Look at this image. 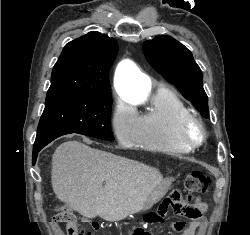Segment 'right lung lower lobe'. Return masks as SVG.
I'll use <instances>...</instances> for the list:
<instances>
[{
    "label": "right lung lower lobe",
    "instance_id": "right-lung-lower-lobe-1",
    "mask_svg": "<svg viewBox=\"0 0 250 235\" xmlns=\"http://www.w3.org/2000/svg\"><path fill=\"white\" fill-rule=\"evenodd\" d=\"M70 133H72V132L67 131V130H49V131H45V132L37 134L36 140L34 143V147H33V165L36 162L38 152L43 147H45L47 144H49L54 139H56L62 135H65V134H70Z\"/></svg>",
    "mask_w": 250,
    "mask_h": 235
}]
</instances>
